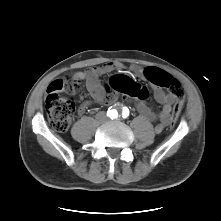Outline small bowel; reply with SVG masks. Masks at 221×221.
Here are the masks:
<instances>
[{"label":"small bowel","mask_w":221,"mask_h":221,"mask_svg":"<svg viewBox=\"0 0 221 221\" xmlns=\"http://www.w3.org/2000/svg\"><path fill=\"white\" fill-rule=\"evenodd\" d=\"M123 68V65L120 62H109L103 66L95 67L87 71H78L72 75V79L74 82L78 83L84 81L87 87L88 92L90 93L93 101L101 103L108 100H113L115 97V93H122L125 97H130L126 92L125 88L133 83L134 81L130 78V76L125 74H117L114 75L110 82L109 86L105 87L101 84L100 77L111 73L116 70H120ZM159 69V68H156ZM162 70V69H159ZM136 74H138L141 78L148 80L146 76V69L144 68H134ZM164 71V70H162ZM166 72V71H164ZM168 73V72H167ZM151 82V81H150ZM135 83V82H134ZM154 86V97L155 99L162 104L161 112L156 115L148 103L139 98H135L137 110L142 114V116L148 120L159 119L160 123L155 127V131L160 133L166 126L173 124L177 117H174L172 114L173 106L178 105L179 110L181 111L184 106V98L182 96L177 97L171 93H166L162 89V87L153 83ZM110 93V96L107 97V94ZM90 102L85 101L79 107L78 112L80 114L84 113L86 109L89 107ZM180 114V113H179Z\"/></svg>","instance_id":"c3829d8e"}]
</instances>
